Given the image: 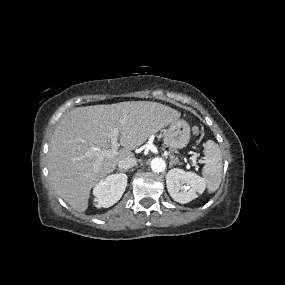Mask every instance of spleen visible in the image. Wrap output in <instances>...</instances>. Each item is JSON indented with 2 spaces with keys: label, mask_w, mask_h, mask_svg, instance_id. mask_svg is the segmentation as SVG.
Wrapping results in <instances>:
<instances>
[{
  "label": "spleen",
  "mask_w": 285,
  "mask_h": 285,
  "mask_svg": "<svg viewBox=\"0 0 285 285\" xmlns=\"http://www.w3.org/2000/svg\"><path fill=\"white\" fill-rule=\"evenodd\" d=\"M203 153L205 164L202 169V176L208 192L213 193L221 183L223 172L222 154L218 144L212 140L205 143Z\"/></svg>",
  "instance_id": "obj_1"
}]
</instances>
